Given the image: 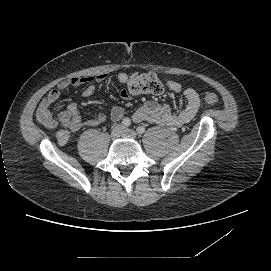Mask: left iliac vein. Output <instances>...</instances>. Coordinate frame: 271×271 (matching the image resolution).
<instances>
[{
    "label": "left iliac vein",
    "instance_id": "left-iliac-vein-1",
    "mask_svg": "<svg viewBox=\"0 0 271 271\" xmlns=\"http://www.w3.org/2000/svg\"><path fill=\"white\" fill-rule=\"evenodd\" d=\"M122 136L125 138L135 139L137 137V134L131 129L122 128Z\"/></svg>",
    "mask_w": 271,
    "mask_h": 271
}]
</instances>
